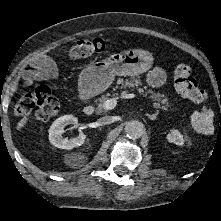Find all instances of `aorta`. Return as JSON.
I'll return each instance as SVG.
<instances>
[{
	"label": "aorta",
	"mask_w": 221,
	"mask_h": 221,
	"mask_svg": "<svg viewBox=\"0 0 221 221\" xmlns=\"http://www.w3.org/2000/svg\"><path fill=\"white\" fill-rule=\"evenodd\" d=\"M144 125L137 120H131L125 123L124 132L132 139H138L144 134Z\"/></svg>",
	"instance_id": "obj_1"
}]
</instances>
